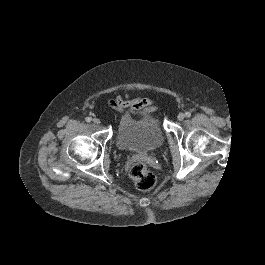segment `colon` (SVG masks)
<instances>
[{"instance_id":"obj_1","label":"colon","mask_w":265,"mask_h":265,"mask_svg":"<svg viewBox=\"0 0 265 265\" xmlns=\"http://www.w3.org/2000/svg\"><path fill=\"white\" fill-rule=\"evenodd\" d=\"M130 177L137 189L149 191L156 185L155 175L143 162L135 163L130 169Z\"/></svg>"}]
</instances>
